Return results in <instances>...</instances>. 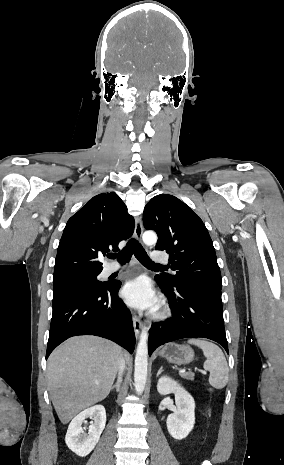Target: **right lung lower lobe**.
<instances>
[{"mask_svg": "<svg viewBox=\"0 0 284 465\" xmlns=\"http://www.w3.org/2000/svg\"><path fill=\"white\" fill-rule=\"evenodd\" d=\"M121 282L105 288H79L53 297L46 359L63 341L77 335H96L110 339L130 353L134 351L135 334L132 317L118 298Z\"/></svg>", "mask_w": 284, "mask_h": 465, "instance_id": "obj_1", "label": "right lung lower lobe"}]
</instances>
